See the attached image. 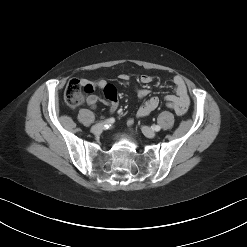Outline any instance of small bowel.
<instances>
[{"mask_svg": "<svg viewBox=\"0 0 247 247\" xmlns=\"http://www.w3.org/2000/svg\"><path fill=\"white\" fill-rule=\"evenodd\" d=\"M120 78L123 81L129 80L128 75H121ZM140 81L143 84H148L152 81V77L149 75H142L140 77ZM172 82L174 84L175 94L167 95L165 97V100L174 102L176 105V109H175L176 114L182 116L186 113L190 104L187 86L184 79L181 76H174ZM81 83L84 86L90 87L92 90L94 88H99L103 91L104 97L102 99L94 94H90L87 96L86 103L90 108L92 109L96 108L98 102L101 101L106 105H108L112 112H114L117 109L118 107L117 91L112 84L108 83L106 80L103 79L97 81L83 79ZM149 93H150L149 89L146 88H140L137 90V95L141 99L147 97ZM158 104H159L158 98L150 97L138 108L136 112V116L138 118L148 116L158 107ZM132 124H133V119H129L128 125L132 126Z\"/></svg>", "mask_w": 247, "mask_h": 247, "instance_id": "1", "label": "small bowel"}]
</instances>
